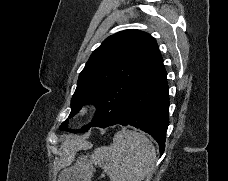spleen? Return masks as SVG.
<instances>
[{"label":"spleen","instance_id":"spleen-1","mask_svg":"<svg viewBox=\"0 0 228 181\" xmlns=\"http://www.w3.org/2000/svg\"><path fill=\"white\" fill-rule=\"evenodd\" d=\"M92 161L104 169L110 181H144L154 173L156 151L143 133L122 129L110 147L95 149Z\"/></svg>","mask_w":228,"mask_h":181}]
</instances>
